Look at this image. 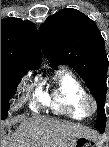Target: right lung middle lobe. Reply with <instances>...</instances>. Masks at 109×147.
Segmentation results:
<instances>
[{"label":"right lung middle lobe","instance_id":"dd1d6c3e","mask_svg":"<svg viewBox=\"0 0 109 147\" xmlns=\"http://www.w3.org/2000/svg\"><path fill=\"white\" fill-rule=\"evenodd\" d=\"M26 70L16 66L1 65V119L8 115V100L13 97L16 87Z\"/></svg>","mask_w":109,"mask_h":147}]
</instances>
